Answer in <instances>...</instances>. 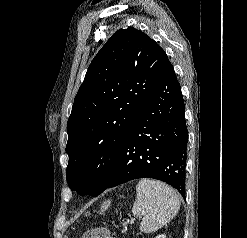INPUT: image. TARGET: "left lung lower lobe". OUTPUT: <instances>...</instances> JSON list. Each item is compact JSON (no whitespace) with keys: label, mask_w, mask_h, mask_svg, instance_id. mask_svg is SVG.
Returning a JSON list of instances; mask_svg holds the SVG:
<instances>
[{"label":"left lung lower lobe","mask_w":247,"mask_h":238,"mask_svg":"<svg viewBox=\"0 0 247 238\" xmlns=\"http://www.w3.org/2000/svg\"><path fill=\"white\" fill-rule=\"evenodd\" d=\"M187 142L183 96L168 60L155 90L121 144L102 192L134 179L154 178L184 195Z\"/></svg>","instance_id":"1"}]
</instances>
